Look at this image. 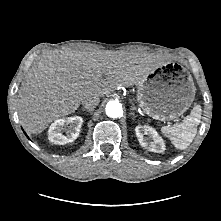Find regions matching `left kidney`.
Returning <instances> with one entry per match:
<instances>
[{
    "instance_id": "obj_1",
    "label": "left kidney",
    "mask_w": 221,
    "mask_h": 221,
    "mask_svg": "<svg viewBox=\"0 0 221 221\" xmlns=\"http://www.w3.org/2000/svg\"><path fill=\"white\" fill-rule=\"evenodd\" d=\"M136 136L142 147L155 153H162L165 150L163 139L158 135L157 131L150 126H136Z\"/></svg>"
}]
</instances>
